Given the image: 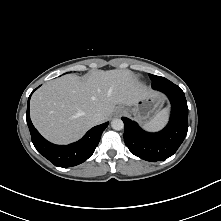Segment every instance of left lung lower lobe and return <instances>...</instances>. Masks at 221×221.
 <instances>
[{"label": "left lung lower lobe", "instance_id": "left-lung-lower-lobe-1", "mask_svg": "<svg viewBox=\"0 0 221 221\" xmlns=\"http://www.w3.org/2000/svg\"><path fill=\"white\" fill-rule=\"evenodd\" d=\"M155 90L164 93L171 103L170 120L163 130L149 133L141 129L135 121L122 118L126 146L132 154L150 162L163 161L172 156L188 131V106L182 89L173 84Z\"/></svg>", "mask_w": 221, "mask_h": 221}]
</instances>
